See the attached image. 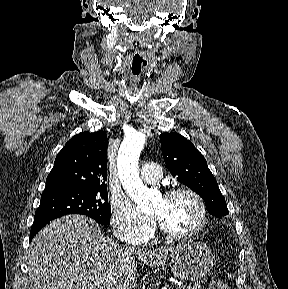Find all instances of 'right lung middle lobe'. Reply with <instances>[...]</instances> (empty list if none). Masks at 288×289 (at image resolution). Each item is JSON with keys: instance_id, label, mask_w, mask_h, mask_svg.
I'll use <instances>...</instances> for the list:
<instances>
[{"instance_id": "dd1d6c3e", "label": "right lung middle lobe", "mask_w": 288, "mask_h": 289, "mask_svg": "<svg viewBox=\"0 0 288 289\" xmlns=\"http://www.w3.org/2000/svg\"><path fill=\"white\" fill-rule=\"evenodd\" d=\"M107 201V187L45 189L35 212L34 223L50 221L67 214H81L107 225L111 213Z\"/></svg>"}]
</instances>
